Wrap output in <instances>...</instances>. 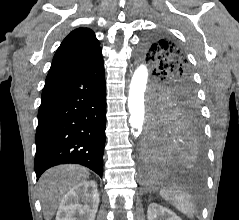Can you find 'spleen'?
Segmentation results:
<instances>
[{
    "label": "spleen",
    "mask_w": 239,
    "mask_h": 220,
    "mask_svg": "<svg viewBox=\"0 0 239 220\" xmlns=\"http://www.w3.org/2000/svg\"><path fill=\"white\" fill-rule=\"evenodd\" d=\"M160 195L173 206L176 207L181 213L185 214L189 218H193L194 206L190 196L184 194L179 190H167L160 191Z\"/></svg>",
    "instance_id": "spleen-1"
}]
</instances>
